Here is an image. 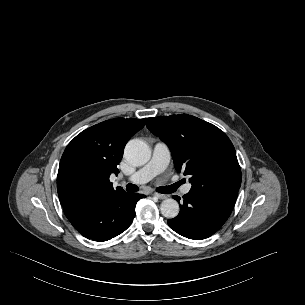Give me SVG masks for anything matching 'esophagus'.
<instances>
[{"instance_id":"34e87169","label":"esophagus","mask_w":305,"mask_h":305,"mask_svg":"<svg viewBox=\"0 0 305 305\" xmlns=\"http://www.w3.org/2000/svg\"><path fill=\"white\" fill-rule=\"evenodd\" d=\"M153 195L155 197H157L158 199H166L167 198V195H165V194L154 193Z\"/></svg>"}]
</instances>
